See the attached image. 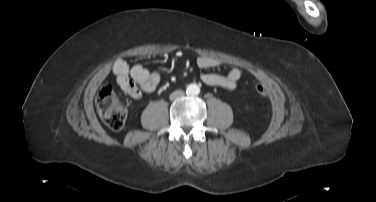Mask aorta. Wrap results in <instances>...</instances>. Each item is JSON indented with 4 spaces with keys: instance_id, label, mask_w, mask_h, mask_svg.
I'll return each instance as SVG.
<instances>
[{
    "instance_id": "obj_1",
    "label": "aorta",
    "mask_w": 376,
    "mask_h": 202,
    "mask_svg": "<svg viewBox=\"0 0 376 202\" xmlns=\"http://www.w3.org/2000/svg\"><path fill=\"white\" fill-rule=\"evenodd\" d=\"M187 95L197 96L200 93V88L197 84H190L186 89Z\"/></svg>"
}]
</instances>
